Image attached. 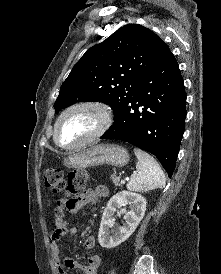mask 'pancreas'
<instances>
[{"mask_svg":"<svg viewBox=\"0 0 221 274\" xmlns=\"http://www.w3.org/2000/svg\"><path fill=\"white\" fill-rule=\"evenodd\" d=\"M111 180L113 181V183L116 186H121V184H120V178L116 175V173H114L113 175H111Z\"/></svg>","mask_w":221,"mask_h":274,"instance_id":"cf45deb5","label":"pancreas"}]
</instances>
